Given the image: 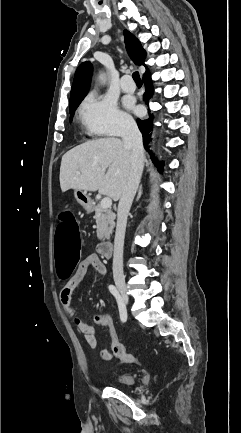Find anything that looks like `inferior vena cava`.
I'll return each mask as SVG.
<instances>
[{"mask_svg":"<svg viewBox=\"0 0 241 433\" xmlns=\"http://www.w3.org/2000/svg\"><path fill=\"white\" fill-rule=\"evenodd\" d=\"M124 145L131 150V172L127 184L122 192L117 210V225L114 239L113 278L115 281L124 280L123 249L127 225V217L133 199L137 192L144 165V147L142 134L135 121H126L122 130Z\"/></svg>","mask_w":241,"mask_h":433,"instance_id":"1","label":"inferior vena cava"}]
</instances>
